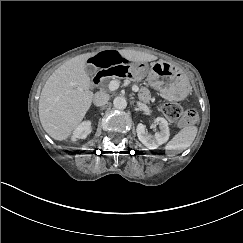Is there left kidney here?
<instances>
[{"label": "left kidney", "mask_w": 243, "mask_h": 243, "mask_svg": "<svg viewBox=\"0 0 243 243\" xmlns=\"http://www.w3.org/2000/svg\"><path fill=\"white\" fill-rule=\"evenodd\" d=\"M156 123L159 125L160 131L156 132L154 136L146 133V127L142 123H138L136 126L139 141L150 150L157 149L169 139V127L166 119L157 117Z\"/></svg>", "instance_id": "obj_1"}]
</instances>
